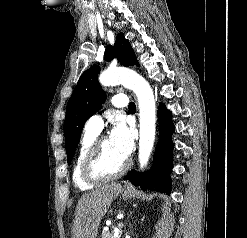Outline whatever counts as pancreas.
Segmentation results:
<instances>
[{
    "instance_id": "cf45deb5",
    "label": "pancreas",
    "mask_w": 247,
    "mask_h": 238,
    "mask_svg": "<svg viewBox=\"0 0 247 238\" xmlns=\"http://www.w3.org/2000/svg\"><path fill=\"white\" fill-rule=\"evenodd\" d=\"M121 228H119V235L117 237H115L114 234L109 231H103L101 238H121V234H122Z\"/></svg>"
}]
</instances>
